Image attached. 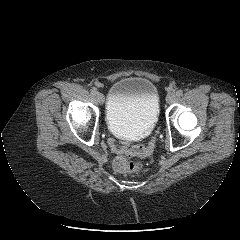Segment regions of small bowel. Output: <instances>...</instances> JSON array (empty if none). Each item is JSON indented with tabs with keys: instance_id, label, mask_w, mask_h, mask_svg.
I'll return each instance as SVG.
<instances>
[{
	"instance_id": "1",
	"label": "small bowel",
	"mask_w": 240,
	"mask_h": 240,
	"mask_svg": "<svg viewBox=\"0 0 240 240\" xmlns=\"http://www.w3.org/2000/svg\"><path fill=\"white\" fill-rule=\"evenodd\" d=\"M108 145L117 154L122 153L126 149V144L123 141H119L116 137H111L108 140Z\"/></svg>"
}]
</instances>
